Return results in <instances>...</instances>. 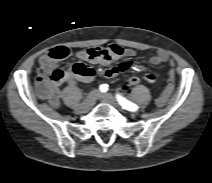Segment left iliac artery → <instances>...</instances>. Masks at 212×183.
I'll return each mask as SVG.
<instances>
[{"label":"left iliac artery","mask_w":212,"mask_h":183,"mask_svg":"<svg viewBox=\"0 0 212 183\" xmlns=\"http://www.w3.org/2000/svg\"><path fill=\"white\" fill-rule=\"evenodd\" d=\"M116 98H117L119 104L122 106L123 109H126L128 111H132V112H135V111L138 110V106L136 104L130 102L126 98L122 97L121 95L116 94Z\"/></svg>","instance_id":"44dca946"}]
</instances>
